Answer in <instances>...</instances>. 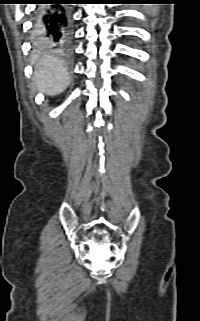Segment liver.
<instances>
[{"label":"liver","mask_w":200,"mask_h":321,"mask_svg":"<svg viewBox=\"0 0 200 321\" xmlns=\"http://www.w3.org/2000/svg\"><path fill=\"white\" fill-rule=\"evenodd\" d=\"M31 63L35 64L34 81L40 91L54 96L68 87L70 76L62 60L37 51L32 55Z\"/></svg>","instance_id":"obj_1"}]
</instances>
